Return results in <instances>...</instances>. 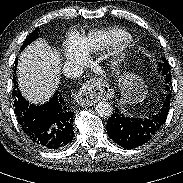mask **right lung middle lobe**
<instances>
[{
	"instance_id": "1",
	"label": "right lung middle lobe",
	"mask_w": 183,
	"mask_h": 183,
	"mask_svg": "<svg viewBox=\"0 0 183 183\" xmlns=\"http://www.w3.org/2000/svg\"><path fill=\"white\" fill-rule=\"evenodd\" d=\"M38 36V28L35 29L30 35L29 37L24 41L22 47H21V51L31 42H33ZM15 65H17V59L15 60Z\"/></svg>"
}]
</instances>
